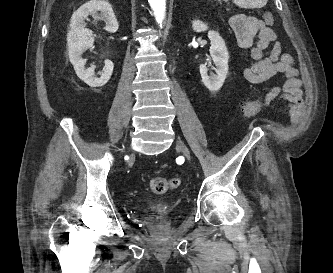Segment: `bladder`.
<instances>
[{
    "label": "bladder",
    "instance_id": "bladder-1",
    "mask_svg": "<svg viewBox=\"0 0 333 273\" xmlns=\"http://www.w3.org/2000/svg\"><path fill=\"white\" fill-rule=\"evenodd\" d=\"M173 207L169 205L157 206L155 214L159 220H168L169 215L172 213Z\"/></svg>",
    "mask_w": 333,
    "mask_h": 273
}]
</instances>
